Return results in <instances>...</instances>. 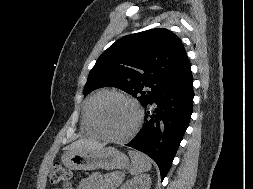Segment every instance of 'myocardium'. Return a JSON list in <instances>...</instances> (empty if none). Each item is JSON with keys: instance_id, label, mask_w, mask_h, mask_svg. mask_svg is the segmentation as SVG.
I'll return each mask as SVG.
<instances>
[{"instance_id": "f54148a6", "label": "myocardium", "mask_w": 253, "mask_h": 189, "mask_svg": "<svg viewBox=\"0 0 253 189\" xmlns=\"http://www.w3.org/2000/svg\"><path fill=\"white\" fill-rule=\"evenodd\" d=\"M107 97H117L119 99H122L126 101L127 103H129L136 111V122L133 128L127 134L123 136H114L108 133L98 119L97 106L102 99L107 98ZM143 116H144L143 110L136 100H134L132 97L126 94H123L117 91H105V92L100 93L99 95L96 96L90 108V117H91V121L94 127L97 129V131L101 134L102 137L111 141H115V142H124L131 139L133 136H135L142 126Z\"/></svg>"}]
</instances>
